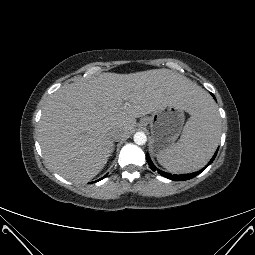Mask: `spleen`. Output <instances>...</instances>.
Wrapping results in <instances>:
<instances>
[{"label": "spleen", "instance_id": "spleen-1", "mask_svg": "<svg viewBox=\"0 0 255 255\" xmlns=\"http://www.w3.org/2000/svg\"><path fill=\"white\" fill-rule=\"evenodd\" d=\"M220 128L217 107L208 96H203L180 139L159 152L158 162L173 173H190L202 168L218 145Z\"/></svg>", "mask_w": 255, "mask_h": 255}]
</instances>
